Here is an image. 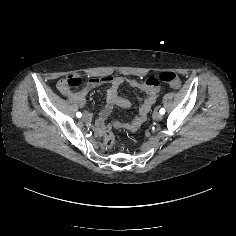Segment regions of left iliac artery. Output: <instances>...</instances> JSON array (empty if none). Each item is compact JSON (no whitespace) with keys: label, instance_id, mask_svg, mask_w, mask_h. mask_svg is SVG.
Instances as JSON below:
<instances>
[{"label":"left iliac artery","instance_id":"1","mask_svg":"<svg viewBox=\"0 0 236 236\" xmlns=\"http://www.w3.org/2000/svg\"><path fill=\"white\" fill-rule=\"evenodd\" d=\"M159 112H160V114L163 115V114L165 113V109H164V108H161Z\"/></svg>","mask_w":236,"mask_h":236}]
</instances>
